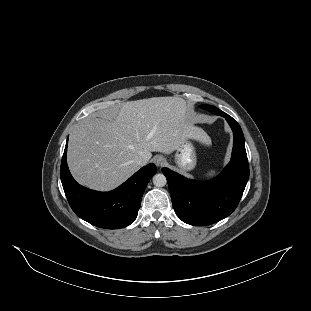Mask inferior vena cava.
Segmentation results:
<instances>
[{"label": "inferior vena cava", "mask_w": 311, "mask_h": 311, "mask_svg": "<svg viewBox=\"0 0 311 311\" xmlns=\"http://www.w3.org/2000/svg\"><path fill=\"white\" fill-rule=\"evenodd\" d=\"M142 161H143V158H142V157H138V158L135 159V163H136L137 165H141V164H142Z\"/></svg>", "instance_id": "1"}]
</instances>
